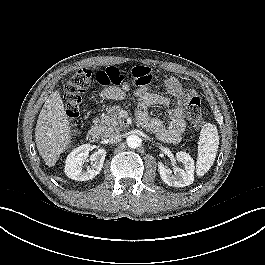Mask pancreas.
Listing matches in <instances>:
<instances>
[{
    "mask_svg": "<svg viewBox=\"0 0 265 265\" xmlns=\"http://www.w3.org/2000/svg\"><path fill=\"white\" fill-rule=\"evenodd\" d=\"M121 109L119 106L110 107L98 121V128L103 136L110 133H119L124 128V120L119 116Z\"/></svg>",
    "mask_w": 265,
    "mask_h": 265,
    "instance_id": "1",
    "label": "pancreas"
}]
</instances>
